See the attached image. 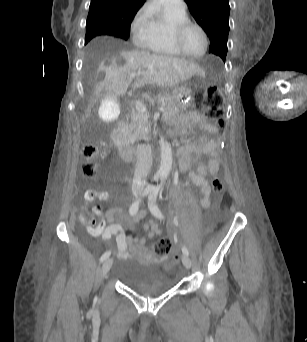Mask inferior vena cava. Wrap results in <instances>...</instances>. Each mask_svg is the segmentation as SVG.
<instances>
[{"instance_id":"602c4592","label":"inferior vena cava","mask_w":307,"mask_h":342,"mask_svg":"<svg viewBox=\"0 0 307 342\" xmlns=\"http://www.w3.org/2000/svg\"><path fill=\"white\" fill-rule=\"evenodd\" d=\"M137 162L134 170L132 192H140L146 186L148 174L152 166V152L151 148H142L137 146L136 150Z\"/></svg>"}]
</instances>
